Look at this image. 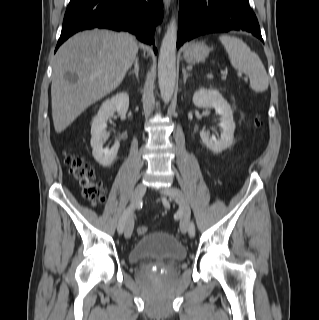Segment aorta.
I'll return each instance as SVG.
<instances>
[{
  "mask_svg": "<svg viewBox=\"0 0 319 320\" xmlns=\"http://www.w3.org/2000/svg\"><path fill=\"white\" fill-rule=\"evenodd\" d=\"M177 21L172 17L163 38L158 59V81L161 97L171 100L176 80Z\"/></svg>",
  "mask_w": 319,
  "mask_h": 320,
  "instance_id": "762f6f07",
  "label": "aorta"
}]
</instances>
